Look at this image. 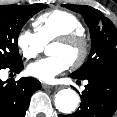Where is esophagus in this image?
<instances>
[{
  "label": "esophagus",
  "instance_id": "34e87169",
  "mask_svg": "<svg viewBox=\"0 0 117 117\" xmlns=\"http://www.w3.org/2000/svg\"><path fill=\"white\" fill-rule=\"evenodd\" d=\"M42 87H43L44 89H52L54 86L43 83V84H42Z\"/></svg>",
  "mask_w": 117,
  "mask_h": 117
}]
</instances>
